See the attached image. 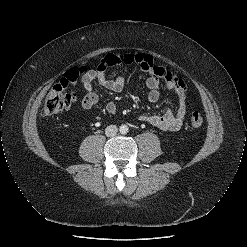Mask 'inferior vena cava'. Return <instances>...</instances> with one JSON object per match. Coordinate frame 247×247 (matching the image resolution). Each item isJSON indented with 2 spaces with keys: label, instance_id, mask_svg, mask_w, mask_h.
I'll return each mask as SVG.
<instances>
[{
  "label": "inferior vena cava",
  "instance_id": "602c4592",
  "mask_svg": "<svg viewBox=\"0 0 247 247\" xmlns=\"http://www.w3.org/2000/svg\"><path fill=\"white\" fill-rule=\"evenodd\" d=\"M118 132V128L115 125L107 126L105 129V134L107 137H114Z\"/></svg>",
  "mask_w": 247,
  "mask_h": 247
}]
</instances>
